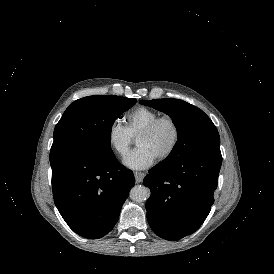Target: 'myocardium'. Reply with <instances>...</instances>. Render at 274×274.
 <instances>
[{"label":"myocardium","mask_w":274,"mask_h":274,"mask_svg":"<svg viewBox=\"0 0 274 274\" xmlns=\"http://www.w3.org/2000/svg\"><path fill=\"white\" fill-rule=\"evenodd\" d=\"M162 124H169L173 130V138L169 149L157 159L158 163H162L168 160L175 152L179 138H180V128L177 121L171 116H162L154 120L150 125H148L144 130H142L138 135L139 137H147L152 135Z\"/></svg>","instance_id":"f54148a6"}]
</instances>
